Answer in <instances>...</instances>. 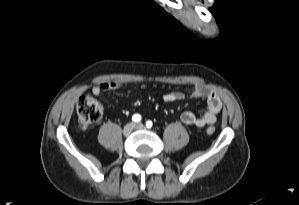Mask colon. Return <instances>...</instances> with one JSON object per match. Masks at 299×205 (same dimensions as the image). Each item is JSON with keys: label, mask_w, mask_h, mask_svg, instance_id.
Returning a JSON list of instances; mask_svg holds the SVG:
<instances>
[{"label": "colon", "mask_w": 299, "mask_h": 205, "mask_svg": "<svg viewBox=\"0 0 299 205\" xmlns=\"http://www.w3.org/2000/svg\"><path fill=\"white\" fill-rule=\"evenodd\" d=\"M78 126L85 130L94 123L98 122L102 116V104L90 94L80 97L76 106ZM207 134L215 133V127L209 126L206 129Z\"/></svg>", "instance_id": "1"}]
</instances>
